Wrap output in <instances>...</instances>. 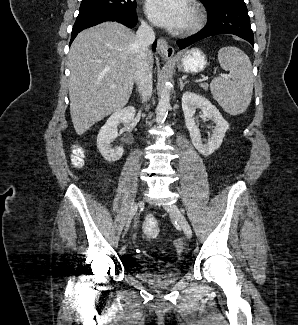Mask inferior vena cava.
<instances>
[{"mask_svg": "<svg viewBox=\"0 0 298 325\" xmlns=\"http://www.w3.org/2000/svg\"><path fill=\"white\" fill-rule=\"evenodd\" d=\"M136 36L139 50L136 60L135 82L138 90H140L142 102H147L152 96L153 88L152 64H150L152 50L149 46L155 42L156 32L152 26L146 22H141Z\"/></svg>", "mask_w": 298, "mask_h": 325, "instance_id": "1", "label": "inferior vena cava"}]
</instances>
